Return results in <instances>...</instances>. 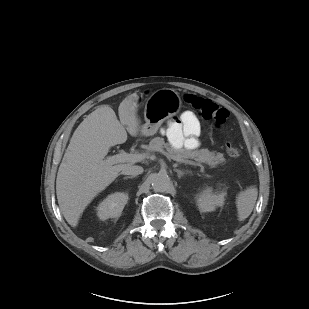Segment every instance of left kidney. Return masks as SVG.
I'll use <instances>...</instances> for the list:
<instances>
[{"instance_id": "left-kidney-1", "label": "left kidney", "mask_w": 309, "mask_h": 309, "mask_svg": "<svg viewBox=\"0 0 309 309\" xmlns=\"http://www.w3.org/2000/svg\"><path fill=\"white\" fill-rule=\"evenodd\" d=\"M224 191L213 193L211 188H205L196 195V204L202 212H212L216 207H221L225 203Z\"/></svg>"}]
</instances>
